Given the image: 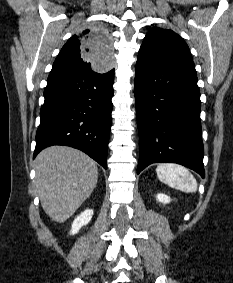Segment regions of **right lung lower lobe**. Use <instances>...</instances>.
<instances>
[{
	"instance_id": "98d812e1",
	"label": "right lung lower lobe",
	"mask_w": 233,
	"mask_h": 283,
	"mask_svg": "<svg viewBox=\"0 0 233 283\" xmlns=\"http://www.w3.org/2000/svg\"><path fill=\"white\" fill-rule=\"evenodd\" d=\"M114 69L50 73L33 158L46 147L82 150L107 168Z\"/></svg>"
}]
</instances>
